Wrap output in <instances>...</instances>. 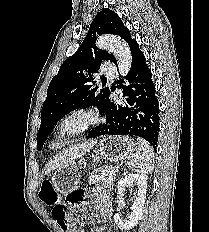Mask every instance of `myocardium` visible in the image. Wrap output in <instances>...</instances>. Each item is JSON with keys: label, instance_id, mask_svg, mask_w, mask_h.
I'll return each instance as SVG.
<instances>
[{"label": "myocardium", "instance_id": "1", "mask_svg": "<svg viewBox=\"0 0 209 232\" xmlns=\"http://www.w3.org/2000/svg\"><path fill=\"white\" fill-rule=\"evenodd\" d=\"M75 120H80V124L70 126V123ZM98 121L99 118L95 113L86 109H75L59 120L55 127V134L58 137L77 136L95 127Z\"/></svg>", "mask_w": 209, "mask_h": 232}]
</instances>
